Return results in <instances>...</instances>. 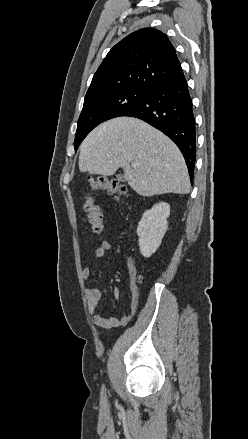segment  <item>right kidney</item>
I'll list each match as a JSON object with an SVG mask.
<instances>
[{
    "mask_svg": "<svg viewBox=\"0 0 248 439\" xmlns=\"http://www.w3.org/2000/svg\"><path fill=\"white\" fill-rule=\"evenodd\" d=\"M170 215V205L166 202L155 204L147 210L138 224L137 235L139 236L140 253L149 258L160 246Z\"/></svg>",
    "mask_w": 248,
    "mask_h": 439,
    "instance_id": "1",
    "label": "right kidney"
}]
</instances>
